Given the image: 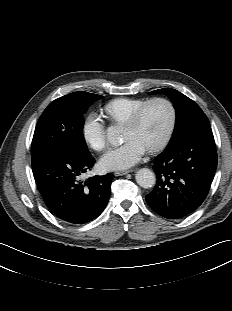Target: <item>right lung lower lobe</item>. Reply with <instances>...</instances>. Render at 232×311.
<instances>
[{"label": "right lung lower lobe", "instance_id": "98d812e1", "mask_svg": "<svg viewBox=\"0 0 232 311\" xmlns=\"http://www.w3.org/2000/svg\"><path fill=\"white\" fill-rule=\"evenodd\" d=\"M95 163L62 150H45L32 155L33 175L46 206L61 220L84 224L97 218L106 207L113 174L83 181L82 173Z\"/></svg>", "mask_w": 232, "mask_h": 311}]
</instances>
